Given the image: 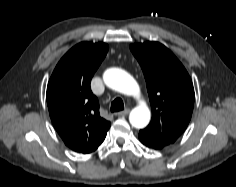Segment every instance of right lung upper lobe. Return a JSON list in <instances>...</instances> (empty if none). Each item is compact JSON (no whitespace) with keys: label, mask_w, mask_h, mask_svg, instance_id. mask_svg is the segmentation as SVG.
Masks as SVG:
<instances>
[{"label":"right lung upper lobe","mask_w":236,"mask_h":187,"mask_svg":"<svg viewBox=\"0 0 236 187\" xmlns=\"http://www.w3.org/2000/svg\"><path fill=\"white\" fill-rule=\"evenodd\" d=\"M108 48L105 43L77 44L61 58L47 86L51 121L65 145L79 153L95 151L111 125L100 116L90 88Z\"/></svg>","instance_id":"1"}]
</instances>
